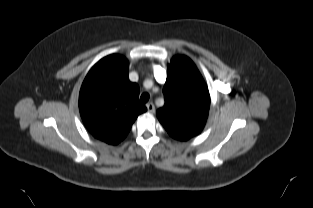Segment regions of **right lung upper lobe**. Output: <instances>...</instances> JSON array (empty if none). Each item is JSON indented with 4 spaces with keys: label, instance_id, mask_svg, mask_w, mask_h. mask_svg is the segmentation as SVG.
Here are the masks:
<instances>
[{
    "label": "right lung upper lobe",
    "instance_id": "right-lung-upper-lobe-1",
    "mask_svg": "<svg viewBox=\"0 0 313 208\" xmlns=\"http://www.w3.org/2000/svg\"><path fill=\"white\" fill-rule=\"evenodd\" d=\"M128 60L112 54L98 61L87 74L79 94L81 118L89 132L116 145L147 109L139 102V87L128 78Z\"/></svg>",
    "mask_w": 313,
    "mask_h": 208
}]
</instances>
